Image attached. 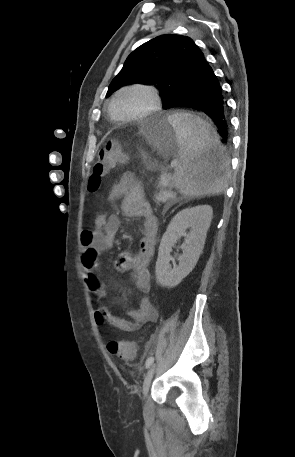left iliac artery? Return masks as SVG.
<instances>
[{
	"label": "left iliac artery",
	"mask_w": 295,
	"mask_h": 457,
	"mask_svg": "<svg viewBox=\"0 0 295 457\" xmlns=\"http://www.w3.org/2000/svg\"><path fill=\"white\" fill-rule=\"evenodd\" d=\"M153 362H154V357H152V356L149 357V358L146 360V363H145L146 368H149V367L152 365Z\"/></svg>",
	"instance_id": "left-iliac-artery-1"
}]
</instances>
